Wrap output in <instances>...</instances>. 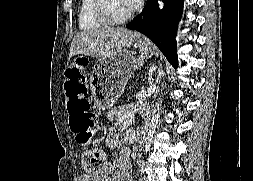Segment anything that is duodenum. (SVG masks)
I'll list each match as a JSON object with an SVG mask.
<instances>
[{"label": "duodenum", "mask_w": 253, "mask_h": 181, "mask_svg": "<svg viewBox=\"0 0 253 181\" xmlns=\"http://www.w3.org/2000/svg\"><path fill=\"white\" fill-rule=\"evenodd\" d=\"M145 133H146V130H142V131L140 132V135L143 136Z\"/></svg>", "instance_id": "obj_1"}]
</instances>
